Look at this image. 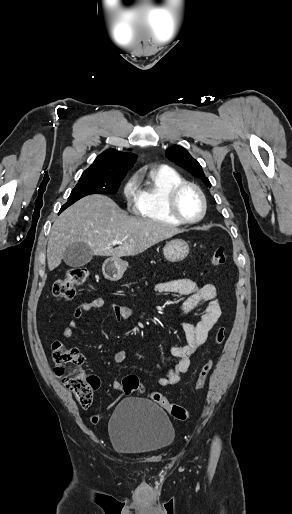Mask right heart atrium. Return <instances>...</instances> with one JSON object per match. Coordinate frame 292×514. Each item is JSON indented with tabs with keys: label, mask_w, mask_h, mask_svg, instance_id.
Wrapping results in <instances>:
<instances>
[{
	"label": "right heart atrium",
	"mask_w": 292,
	"mask_h": 514,
	"mask_svg": "<svg viewBox=\"0 0 292 514\" xmlns=\"http://www.w3.org/2000/svg\"><path fill=\"white\" fill-rule=\"evenodd\" d=\"M138 186L135 177H130L122 185V197L127 207H132L138 196Z\"/></svg>",
	"instance_id": "obj_1"
}]
</instances>
